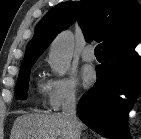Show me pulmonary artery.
<instances>
[{
  "label": "pulmonary artery",
  "instance_id": "pulmonary-artery-1",
  "mask_svg": "<svg viewBox=\"0 0 141 139\" xmlns=\"http://www.w3.org/2000/svg\"><path fill=\"white\" fill-rule=\"evenodd\" d=\"M81 57L86 62H92L95 60V55L92 46H86L81 54Z\"/></svg>",
  "mask_w": 141,
  "mask_h": 139
}]
</instances>
